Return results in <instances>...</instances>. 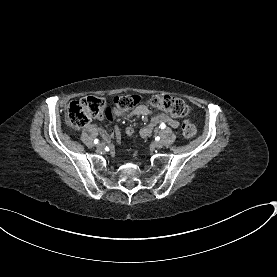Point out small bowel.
<instances>
[{
  "instance_id": "small-bowel-1",
  "label": "small bowel",
  "mask_w": 277,
  "mask_h": 277,
  "mask_svg": "<svg viewBox=\"0 0 277 277\" xmlns=\"http://www.w3.org/2000/svg\"><path fill=\"white\" fill-rule=\"evenodd\" d=\"M152 114V109H150L147 105L144 104H139L135 106L130 112L127 113L117 112V115L123 118H131L133 116H149ZM159 123H165L173 128H176L178 126V122L168 115H155L151 118L149 124L141 130V135L143 137L149 136L153 128ZM114 132L116 137L120 136V131L118 128H116ZM128 133H131V129H128Z\"/></svg>"
}]
</instances>
